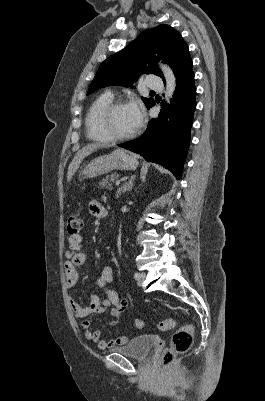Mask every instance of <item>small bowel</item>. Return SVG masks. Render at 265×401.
<instances>
[{"label":"small bowel","mask_w":265,"mask_h":401,"mask_svg":"<svg viewBox=\"0 0 265 401\" xmlns=\"http://www.w3.org/2000/svg\"><path fill=\"white\" fill-rule=\"evenodd\" d=\"M89 211L91 215L97 218L106 216V210L103 205L97 201L92 200L89 204ZM83 238L81 235H71L68 238V249L65 252L67 260L64 263L65 284L68 288L74 287L79 278V267L82 266L87 258L86 251L82 245ZM113 280V269L105 266L99 274L96 284L104 292L105 297L93 294L90 300L84 304H78L72 297L68 298L69 305L78 318L85 319L92 314H102L110 308V315L112 320L109 322L110 326L117 323L121 314L127 308V301L120 299L118 293L109 287ZM81 328L87 340L97 344L100 349H112L118 345L125 344L128 339L126 336H118L110 340L101 339L99 330L94 329L93 325L88 320L81 322Z\"/></svg>","instance_id":"obj_1"}]
</instances>
